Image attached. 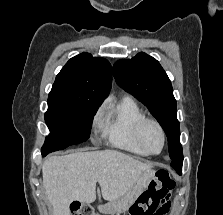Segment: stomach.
I'll use <instances>...</instances> for the list:
<instances>
[{"mask_svg":"<svg viewBox=\"0 0 223 215\" xmlns=\"http://www.w3.org/2000/svg\"><path fill=\"white\" fill-rule=\"evenodd\" d=\"M155 169H145L138 177L135 185L132 189H129L127 193L115 199V201H108L105 205H99V211L102 213H121V211H126V209H132L134 201H137L138 197L147 191L152 179H154Z\"/></svg>","mask_w":223,"mask_h":215,"instance_id":"0dacf381","label":"stomach"}]
</instances>
